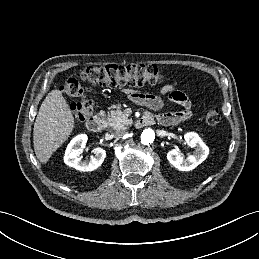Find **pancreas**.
I'll list each match as a JSON object with an SVG mask.
<instances>
[{
    "instance_id": "1",
    "label": "pancreas",
    "mask_w": 259,
    "mask_h": 259,
    "mask_svg": "<svg viewBox=\"0 0 259 259\" xmlns=\"http://www.w3.org/2000/svg\"><path fill=\"white\" fill-rule=\"evenodd\" d=\"M107 124L114 129H127L132 124V120L121 110H112L105 117Z\"/></svg>"
}]
</instances>
